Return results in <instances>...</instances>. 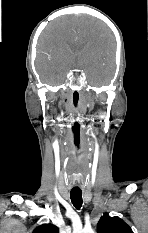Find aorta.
<instances>
[{"label":"aorta","mask_w":148,"mask_h":233,"mask_svg":"<svg viewBox=\"0 0 148 233\" xmlns=\"http://www.w3.org/2000/svg\"><path fill=\"white\" fill-rule=\"evenodd\" d=\"M79 233H95L91 228H84Z\"/></svg>","instance_id":"aorta-1"}]
</instances>
